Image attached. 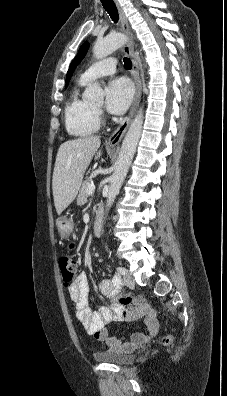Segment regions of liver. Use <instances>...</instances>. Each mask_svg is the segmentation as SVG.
Listing matches in <instances>:
<instances>
[{"label":"liver","instance_id":"1","mask_svg":"<svg viewBox=\"0 0 227 396\" xmlns=\"http://www.w3.org/2000/svg\"><path fill=\"white\" fill-rule=\"evenodd\" d=\"M100 145L99 136L68 140L60 145L52 179L54 205L58 214L76 198L93 156L97 160L102 154Z\"/></svg>","mask_w":227,"mask_h":396}]
</instances>
